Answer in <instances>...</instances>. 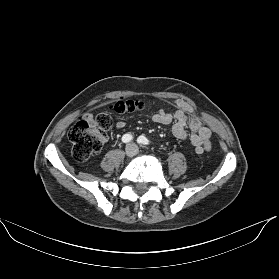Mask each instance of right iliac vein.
Segmentation results:
<instances>
[{"instance_id":"right-iliac-vein-1","label":"right iliac vein","mask_w":279,"mask_h":279,"mask_svg":"<svg viewBox=\"0 0 279 279\" xmlns=\"http://www.w3.org/2000/svg\"><path fill=\"white\" fill-rule=\"evenodd\" d=\"M135 153V146L132 144H129L125 149V155L127 157H132Z\"/></svg>"}]
</instances>
